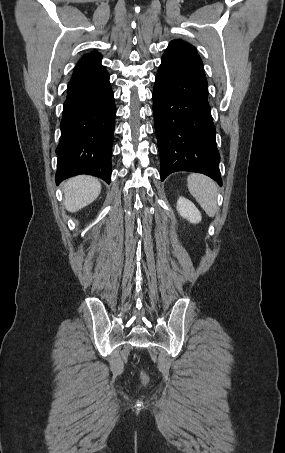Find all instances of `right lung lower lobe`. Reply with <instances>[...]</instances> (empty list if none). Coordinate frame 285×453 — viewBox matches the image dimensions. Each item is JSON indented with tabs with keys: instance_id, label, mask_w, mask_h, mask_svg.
<instances>
[{
	"instance_id": "98d812e1",
	"label": "right lung lower lobe",
	"mask_w": 285,
	"mask_h": 453,
	"mask_svg": "<svg viewBox=\"0 0 285 453\" xmlns=\"http://www.w3.org/2000/svg\"><path fill=\"white\" fill-rule=\"evenodd\" d=\"M114 94L109 74L101 63L77 64L67 87L56 148L59 184L78 174L110 183L115 123Z\"/></svg>"
}]
</instances>
